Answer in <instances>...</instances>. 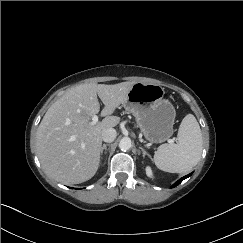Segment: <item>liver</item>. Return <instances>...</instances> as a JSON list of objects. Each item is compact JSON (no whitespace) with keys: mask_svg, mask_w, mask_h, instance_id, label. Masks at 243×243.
Masks as SVG:
<instances>
[{"mask_svg":"<svg viewBox=\"0 0 243 243\" xmlns=\"http://www.w3.org/2000/svg\"><path fill=\"white\" fill-rule=\"evenodd\" d=\"M133 84H81L66 91L47 110L37 129L36 146L48 175L71 185L85 182L96 174L102 132L120 122L112 114L126 99ZM97 96L105 105L101 111L104 119L92 125L91 117L100 111Z\"/></svg>","mask_w":243,"mask_h":243,"instance_id":"1","label":"liver"}]
</instances>
